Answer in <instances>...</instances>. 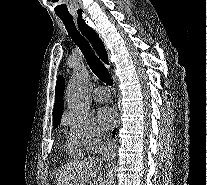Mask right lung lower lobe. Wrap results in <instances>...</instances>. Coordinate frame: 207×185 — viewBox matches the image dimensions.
<instances>
[{
    "label": "right lung lower lobe",
    "mask_w": 207,
    "mask_h": 185,
    "mask_svg": "<svg viewBox=\"0 0 207 185\" xmlns=\"http://www.w3.org/2000/svg\"><path fill=\"white\" fill-rule=\"evenodd\" d=\"M116 129L113 131V136L115 135Z\"/></svg>",
    "instance_id": "1"
}]
</instances>
